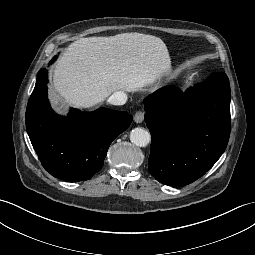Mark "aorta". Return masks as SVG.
<instances>
[{
  "label": "aorta",
  "instance_id": "762f6f07",
  "mask_svg": "<svg viewBox=\"0 0 255 255\" xmlns=\"http://www.w3.org/2000/svg\"><path fill=\"white\" fill-rule=\"evenodd\" d=\"M150 133L144 128H134L130 133V140L138 147H145L150 142Z\"/></svg>",
  "mask_w": 255,
  "mask_h": 255
}]
</instances>
